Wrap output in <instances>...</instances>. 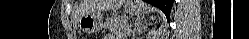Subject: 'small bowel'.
Instances as JSON below:
<instances>
[{"label": "small bowel", "instance_id": "1", "mask_svg": "<svg viewBox=\"0 0 249 39\" xmlns=\"http://www.w3.org/2000/svg\"><path fill=\"white\" fill-rule=\"evenodd\" d=\"M112 37L111 36H107L106 39H111Z\"/></svg>", "mask_w": 249, "mask_h": 39}]
</instances>
